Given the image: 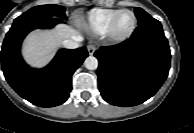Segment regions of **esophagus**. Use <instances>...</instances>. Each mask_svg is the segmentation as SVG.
Returning <instances> with one entry per match:
<instances>
[{"label": "esophagus", "instance_id": "esophagus-1", "mask_svg": "<svg viewBox=\"0 0 194 133\" xmlns=\"http://www.w3.org/2000/svg\"><path fill=\"white\" fill-rule=\"evenodd\" d=\"M87 50H88L89 55H93L94 52H95V50H96V47H95V45H93V44H89V45L87 46Z\"/></svg>", "mask_w": 194, "mask_h": 133}]
</instances>
